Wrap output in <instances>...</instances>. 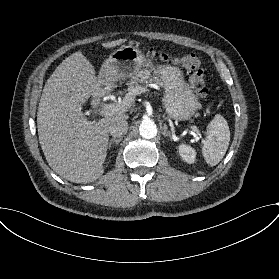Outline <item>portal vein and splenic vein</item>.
I'll return each mask as SVG.
<instances>
[{
    "instance_id": "portal-vein-and-splenic-vein-1",
    "label": "portal vein and splenic vein",
    "mask_w": 279,
    "mask_h": 279,
    "mask_svg": "<svg viewBox=\"0 0 279 279\" xmlns=\"http://www.w3.org/2000/svg\"><path fill=\"white\" fill-rule=\"evenodd\" d=\"M151 87H153V84L150 85ZM143 88L140 87V89L137 91V94L142 92ZM131 97L126 98V103H124V106L122 105V107L118 106V104H106L103 106L102 109L99 110L100 115L104 116V115H112L115 112H121L123 107H127L128 104L131 103ZM192 130L194 133L197 132L198 128L196 126L192 127Z\"/></svg>"
}]
</instances>
